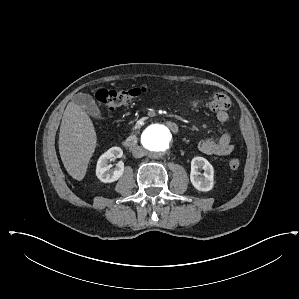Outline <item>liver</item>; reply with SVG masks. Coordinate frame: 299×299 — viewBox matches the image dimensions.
I'll list each match as a JSON object with an SVG mask.
<instances>
[{"mask_svg":"<svg viewBox=\"0 0 299 299\" xmlns=\"http://www.w3.org/2000/svg\"><path fill=\"white\" fill-rule=\"evenodd\" d=\"M58 144L66 171L81 181L97 146V134L90 117L74 102H69L64 111Z\"/></svg>","mask_w":299,"mask_h":299,"instance_id":"6515ba94","label":"liver"}]
</instances>
